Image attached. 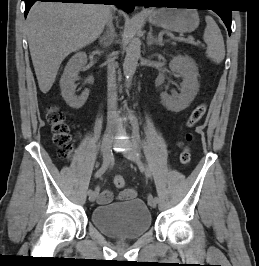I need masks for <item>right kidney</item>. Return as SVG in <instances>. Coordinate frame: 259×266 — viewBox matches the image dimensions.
I'll return each instance as SVG.
<instances>
[{"instance_id": "ca27d5eb", "label": "right kidney", "mask_w": 259, "mask_h": 266, "mask_svg": "<svg viewBox=\"0 0 259 266\" xmlns=\"http://www.w3.org/2000/svg\"><path fill=\"white\" fill-rule=\"evenodd\" d=\"M87 55L85 52H77L67 63L63 75L60 79L61 95L65 102L74 109L81 108L89 96V90L86 89L80 96L75 95V81L79 71L86 65Z\"/></svg>"}]
</instances>
